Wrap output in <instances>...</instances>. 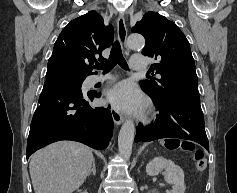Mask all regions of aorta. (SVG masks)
I'll use <instances>...</instances> for the list:
<instances>
[{
    "instance_id": "762f6f07",
    "label": "aorta",
    "mask_w": 237,
    "mask_h": 193,
    "mask_svg": "<svg viewBox=\"0 0 237 193\" xmlns=\"http://www.w3.org/2000/svg\"><path fill=\"white\" fill-rule=\"evenodd\" d=\"M127 44L130 49L143 48L145 45V39L141 34L135 33L129 35ZM135 136V125L132 120H126L119 132L118 147L120 155L124 159H129L132 153V146Z\"/></svg>"
}]
</instances>
